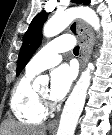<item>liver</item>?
Here are the masks:
<instances>
[{
  "instance_id": "6515ba94",
  "label": "liver",
  "mask_w": 112,
  "mask_h": 135,
  "mask_svg": "<svg viewBox=\"0 0 112 135\" xmlns=\"http://www.w3.org/2000/svg\"><path fill=\"white\" fill-rule=\"evenodd\" d=\"M46 127H29L21 125L13 120H7L3 123L2 135H45Z\"/></svg>"
}]
</instances>
